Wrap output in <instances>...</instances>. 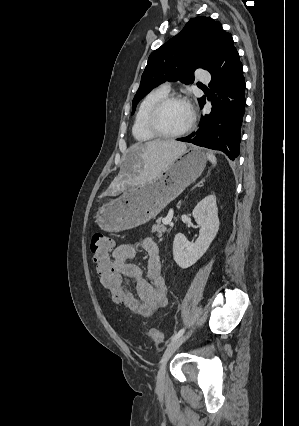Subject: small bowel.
<instances>
[{"label":"small bowel","mask_w":299,"mask_h":426,"mask_svg":"<svg viewBox=\"0 0 299 426\" xmlns=\"http://www.w3.org/2000/svg\"><path fill=\"white\" fill-rule=\"evenodd\" d=\"M148 260L146 278L141 268L131 261L136 256V248L129 243L117 245L112 252V265L124 280L125 299L123 305L131 312L150 317L168 303V287L162 274L160 252L157 243L151 238L141 242ZM134 285L136 295L130 285Z\"/></svg>","instance_id":"c3829d8e"}]
</instances>
